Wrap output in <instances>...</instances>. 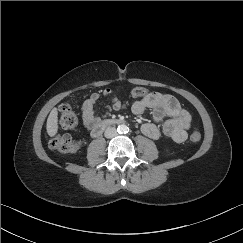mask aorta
<instances>
[{"label":"aorta","instance_id":"762f6f07","mask_svg":"<svg viewBox=\"0 0 243 243\" xmlns=\"http://www.w3.org/2000/svg\"><path fill=\"white\" fill-rule=\"evenodd\" d=\"M128 130L129 128L125 124H121L117 128L118 133H127Z\"/></svg>","mask_w":243,"mask_h":243}]
</instances>
